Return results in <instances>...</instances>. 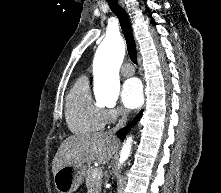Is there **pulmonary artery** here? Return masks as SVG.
Here are the masks:
<instances>
[{
  "instance_id": "1",
  "label": "pulmonary artery",
  "mask_w": 221,
  "mask_h": 193,
  "mask_svg": "<svg viewBox=\"0 0 221 193\" xmlns=\"http://www.w3.org/2000/svg\"><path fill=\"white\" fill-rule=\"evenodd\" d=\"M121 73L123 76H132L134 74V69L130 64H124L121 68Z\"/></svg>"
}]
</instances>
